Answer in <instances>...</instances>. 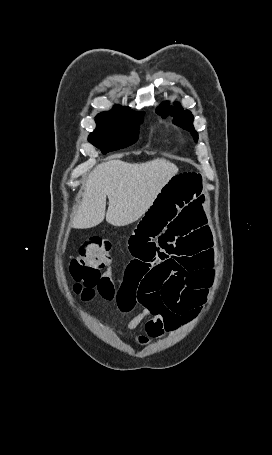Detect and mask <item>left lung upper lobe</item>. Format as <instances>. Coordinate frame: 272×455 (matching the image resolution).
Listing matches in <instances>:
<instances>
[{
  "label": "left lung upper lobe",
  "mask_w": 272,
  "mask_h": 455,
  "mask_svg": "<svg viewBox=\"0 0 272 455\" xmlns=\"http://www.w3.org/2000/svg\"><path fill=\"white\" fill-rule=\"evenodd\" d=\"M159 115L166 117L168 114L174 117L173 123L181 126L188 130L194 136L195 141L198 140V134L193 126V116L188 110H184L179 104H175L173 107L169 106L168 102L162 103L156 110Z\"/></svg>",
  "instance_id": "obj_1"
}]
</instances>
